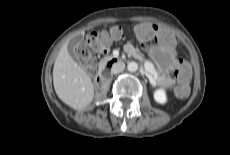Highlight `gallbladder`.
Instances as JSON below:
<instances>
[{
    "label": "gallbladder",
    "mask_w": 230,
    "mask_h": 155,
    "mask_svg": "<svg viewBox=\"0 0 230 155\" xmlns=\"http://www.w3.org/2000/svg\"><path fill=\"white\" fill-rule=\"evenodd\" d=\"M80 40H81V37L79 36V37H76V38H74L71 42H70V44H69V46H68V52H69V54H70V56L75 60V61H79V59H78V57L76 56V54H75V46H77V44L80 42Z\"/></svg>",
    "instance_id": "gallbladder-1"
}]
</instances>
